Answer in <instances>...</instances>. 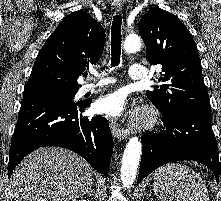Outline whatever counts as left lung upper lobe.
Instances as JSON below:
<instances>
[{"instance_id": "left-lung-upper-lobe-1", "label": "left lung upper lobe", "mask_w": 221, "mask_h": 201, "mask_svg": "<svg viewBox=\"0 0 221 201\" xmlns=\"http://www.w3.org/2000/svg\"><path fill=\"white\" fill-rule=\"evenodd\" d=\"M139 33L149 63L162 66V85L147 91L159 111L168 114L191 108L210 109L198 50L182 22L174 14L153 8L141 17Z\"/></svg>"}]
</instances>
